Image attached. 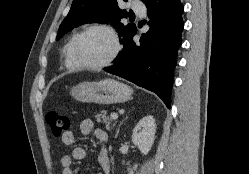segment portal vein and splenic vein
I'll return each instance as SVG.
<instances>
[{
  "label": "portal vein and splenic vein",
  "instance_id": "18ae733b",
  "mask_svg": "<svg viewBox=\"0 0 249 174\" xmlns=\"http://www.w3.org/2000/svg\"><path fill=\"white\" fill-rule=\"evenodd\" d=\"M110 117L111 119L116 120L118 118V115L116 113H112Z\"/></svg>",
  "mask_w": 249,
  "mask_h": 174
}]
</instances>
